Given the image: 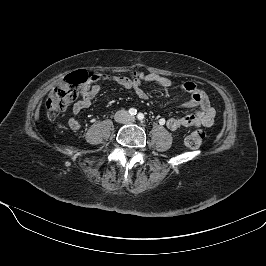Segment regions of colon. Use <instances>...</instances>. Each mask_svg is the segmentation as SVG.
I'll list each match as a JSON object with an SVG mask.
<instances>
[{"label":"colon","instance_id":"5ec220e1","mask_svg":"<svg viewBox=\"0 0 266 266\" xmlns=\"http://www.w3.org/2000/svg\"><path fill=\"white\" fill-rule=\"evenodd\" d=\"M95 79L92 72L80 70L66 76L48 95L46 108L50 119H55L72 102H74L91 81ZM205 134L202 130L191 132L185 139V144L191 149L199 148Z\"/></svg>","mask_w":266,"mask_h":266}]
</instances>
